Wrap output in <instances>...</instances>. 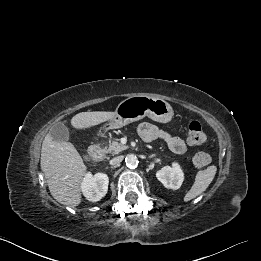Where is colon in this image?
<instances>
[{"label":"colon","instance_id":"5ec220e1","mask_svg":"<svg viewBox=\"0 0 261 261\" xmlns=\"http://www.w3.org/2000/svg\"><path fill=\"white\" fill-rule=\"evenodd\" d=\"M187 140L191 145H201L206 140V135L199 121H191L188 126ZM210 162V156L206 152H197L193 156V163L197 167H204Z\"/></svg>","mask_w":261,"mask_h":261}]
</instances>
